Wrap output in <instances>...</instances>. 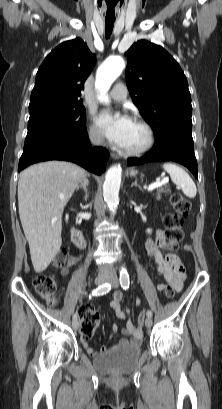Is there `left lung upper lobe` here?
Instances as JSON below:
<instances>
[{"instance_id":"left-lung-upper-lobe-1","label":"left lung upper lobe","mask_w":222,"mask_h":409,"mask_svg":"<svg viewBox=\"0 0 222 409\" xmlns=\"http://www.w3.org/2000/svg\"><path fill=\"white\" fill-rule=\"evenodd\" d=\"M126 83L134 104L152 126L155 137L169 130L192 131L187 79L161 46L141 40L125 53Z\"/></svg>"}]
</instances>
